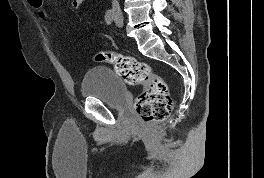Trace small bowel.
<instances>
[{"label":"small bowel","mask_w":264,"mask_h":178,"mask_svg":"<svg viewBox=\"0 0 264 178\" xmlns=\"http://www.w3.org/2000/svg\"><path fill=\"white\" fill-rule=\"evenodd\" d=\"M85 2L86 0H71L70 4L73 9L79 10Z\"/></svg>","instance_id":"small-bowel-1"}]
</instances>
